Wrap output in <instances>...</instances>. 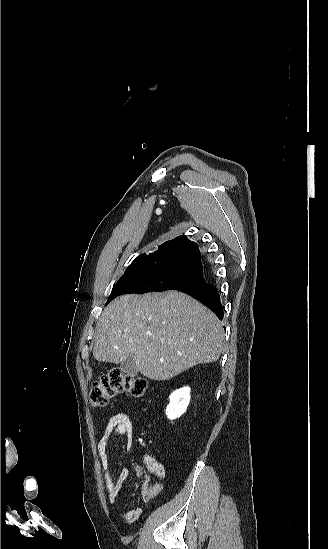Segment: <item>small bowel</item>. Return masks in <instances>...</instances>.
I'll list each match as a JSON object with an SVG mask.
<instances>
[{
  "instance_id": "c3829d8e",
  "label": "small bowel",
  "mask_w": 328,
  "mask_h": 549,
  "mask_svg": "<svg viewBox=\"0 0 328 549\" xmlns=\"http://www.w3.org/2000/svg\"><path fill=\"white\" fill-rule=\"evenodd\" d=\"M115 435L124 436L127 440L128 451L133 452L134 430L133 422L129 414L121 412L113 415L109 419L103 435L97 444L98 455L103 470V476L105 486L108 492L109 501L113 507H115L116 509H120L118 495L122 485L129 476V470L122 469L116 480L112 476L108 454V445L112 437ZM142 461L149 473L157 476L159 479H164L166 477V471L164 466L159 463L155 458L148 454H145L142 456ZM162 489V483L160 481H157L149 487L148 492L145 496L147 499L152 500L162 492ZM131 513H136L138 515L139 511L122 512V515L126 516Z\"/></svg>"
}]
</instances>
